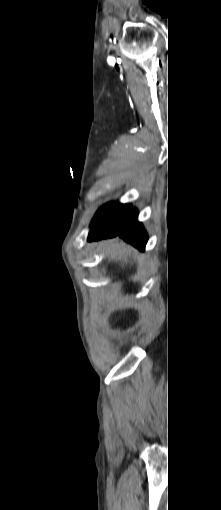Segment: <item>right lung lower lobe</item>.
Listing matches in <instances>:
<instances>
[{"mask_svg": "<svg viewBox=\"0 0 221 510\" xmlns=\"http://www.w3.org/2000/svg\"><path fill=\"white\" fill-rule=\"evenodd\" d=\"M123 238L139 250H144L147 234L141 223L137 221V211L128 205L121 218H112L99 212L94 217L88 236L89 241H95L115 236Z\"/></svg>", "mask_w": 221, "mask_h": 510, "instance_id": "1", "label": "right lung lower lobe"}]
</instances>
